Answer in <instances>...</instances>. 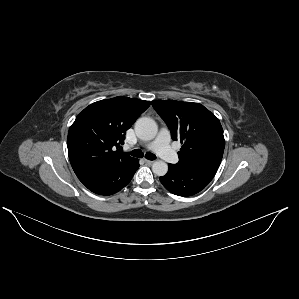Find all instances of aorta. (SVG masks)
Returning <instances> with one entry per match:
<instances>
[{
	"label": "aorta",
	"mask_w": 299,
	"mask_h": 299,
	"mask_svg": "<svg viewBox=\"0 0 299 299\" xmlns=\"http://www.w3.org/2000/svg\"><path fill=\"white\" fill-rule=\"evenodd\" d=\"M135 131L140 139L149 141L155 138L158 126L153 119L142 117L136 121ZM152 171L157 176H164L168 171V165L162 160H156L152 165Z\"/></svg>",
	"instance_id": "aorta-1"
}]
</instances>
